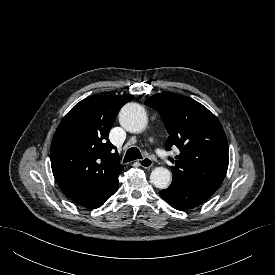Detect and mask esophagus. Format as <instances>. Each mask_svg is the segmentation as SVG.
<instances>
[{"label":"esophagus","instance_id":"obj_1","mask_svg":"<svg viewBox=\"0 0 275 275\" xmlns=\"http://www.w3.org/2000/svg\"><path fill=\"white\" fill-rule=\"evenodd\" d=\"M138 164H139L141 167L148 169V168L152 167L153 161H152L150 158L145 157V158H143V159H139V160H138Z\"/></svg>","mask_w":275,"mask_h":275}]
</instances>
